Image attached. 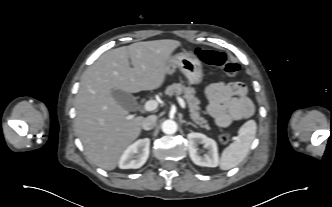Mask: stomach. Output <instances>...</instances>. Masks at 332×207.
<instances>
[{
    "instance_id": "obj_1",
    "label": "stomach",
    "mask_w": 332,
    "mask_h": 207,
    "mask_svg": "<svg viewBox=\"0 0 332 207\" xmlns=\"http://www.w3.org/2000/svg\"><path fill=\"white\" fill-rule=\"evenodd\" d=\"M178 68L192 85H199L203 80V69L199 58L191 52H181L170 57L167 74H173Z\"/></svg>"
}]
</instances>
